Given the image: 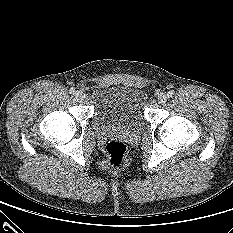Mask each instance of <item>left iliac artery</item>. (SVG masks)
<instances>
[{"mask_svg":"<svg viewBox=\"0 0 233 233\" xmlns=\"http://www.w3.org/2000/svg\"><path fill=\"white\" fill-rule=\"evenodd\" d=\"M173 94H174L173 91H168V92H167V97H168V98H171V97L173 96Z\"/></svg>","mask_w":233,"mask_h":233,"instance_id":"obj_1","label":"left iliac artery"}]
</instances>
